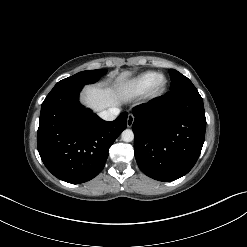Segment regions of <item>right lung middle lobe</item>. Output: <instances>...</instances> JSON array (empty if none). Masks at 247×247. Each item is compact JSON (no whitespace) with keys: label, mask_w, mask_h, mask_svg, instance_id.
Returning <instances> with one entry per match:
<instances>
[{"label":"right lung middle lobe","mask_w":247,"mask_h":247,"mask_svg":"<svg viewBox=\"0 0 247 247\" xmlns=\"http://www.w3.org/2000/svg\"><path fill=\"white\" fill-rule=\"evenodd\" d=\"M107 71L102 69L97 70H87L79 72L71 77L65 78L59 81L55 87L57 86H70V85H81L91 84L96 82L99 78L102 77Z\"/></svg>","instance_id":"dd1d6c3e"}]
</instances>
